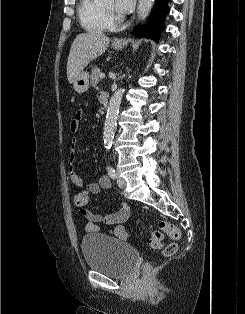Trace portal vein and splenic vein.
<instances>
[{"label":"portal vein and splenic vein","instance_id":"obj_1","mask_svg":"<svg viewBox=\"0 0 245 314\" xmlns=\"http://www.w3.org/2000/svg\"><path fill=\"white\" fill-rule=\"evenodd\" d=\"M99 77H100L101 79H103V78L105 77V73H101V74L99 75Z\"/></svg>","mask_w":245,"mask_h":314}]
</instances>
